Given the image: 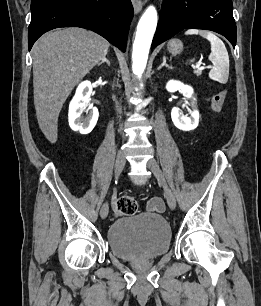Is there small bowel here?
I'll return each instance as SVG.
<instances>
[{
  "mask_svg": "<svg viewBox=\"0 0 261 306\" xmlns=\"http://www.w3.org/2000/svg\"><path fill=\"white\" fill-rule=\"evenodd\" d=\"M147 207L151 211L162 212L164 210V203L160 198L154 197L149 200Z\"/></svg>",
  "mask_w": 261,
  "mask_h": 306,
  "instance_id": "1",
  "label": "small bowel"
}]
</instances>
